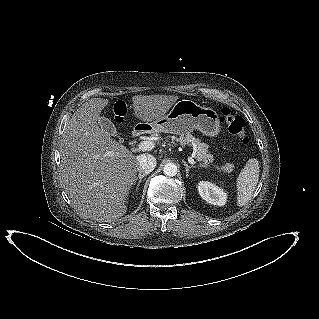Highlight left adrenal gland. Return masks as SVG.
<instances>
[{
  "label": "left adrenal gland",
  "instance_id": "a2214340",
  "mask_svg": "<svg viewBox=\"0 0 319 319\" xmlns=\"http://www.w3.org/2000/svg\"><path fill=\"white\" fill-rule=\"evenodd\" d=\"M183 164H184V166H185V170H186V178H188L189 177V171H190V169H192V168H195L194 166H190V165H188L185 161H183Z\"/></svg>",
  "mask_w": 319,
  "mask_h": 319
}]
</instances>
